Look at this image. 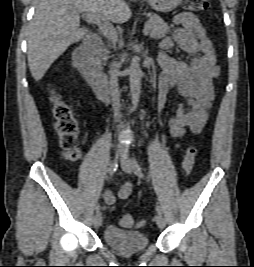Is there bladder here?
<instances>
[{"label":"bladder","instance_id":"obj_1","mask_svg":"<svg viewBox=\"0 0 254 267\" xmlns=\"http://www.w3.org/2000/svg\"><path fill=\"white\" fill-rule=\"evenodd\" d=\"M104 241L121 252H140L148 245V237L141 230H126L108 225L103 231Z\"/></svg>","mask_w":254,"mask_h":267}]
</instances>
